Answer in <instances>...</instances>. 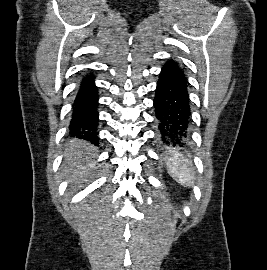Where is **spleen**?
Listing matches in <instances>:
<instances>
[{"label": "spleen", "mask_w": 267, "mask_h": 270, "mask_svg": "<svg viewBox=\"0 0 267 270\" xmlns=\"http://www.w3.org/2000/svg\"><path fill=\"white\" fill-rule=\"evenodd\" d=\"M168 173L178 183L184 186H191L193 175L189 168V161L177 151H174L167 158Z\"/></svg>", "instance_id": "spleen-1"}]
</instances>
